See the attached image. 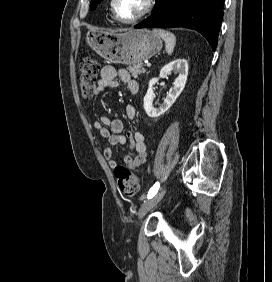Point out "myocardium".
I'll return each mask as SVG.
<instances>
[{
  "label": "myocardium",
  "instance_id": "myocardium-1",
  "mask_svg": "<svg viewBox=\"0 0 272 282\" xmlns=\"http://www.w3.org/2000/svg\"><path fill=\"white\" fill-rule=\"evenodd\" d=\"M116 2L117 0H111L110 2V9L111 12L114 16V18L122 23H126V24H132V23H136L138 21H140L141 19H143L144 17H146L151 10L153 9L154 5H155V0H147L146 1V7L145 9L139 13L137 16L130 18V19H123L122 17H120L116 11Z\"/></svg>",
  "mask_w": 272,
  "mask_h": 282
}]
</instances>
